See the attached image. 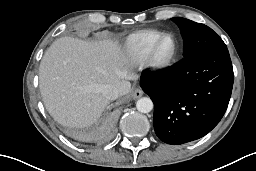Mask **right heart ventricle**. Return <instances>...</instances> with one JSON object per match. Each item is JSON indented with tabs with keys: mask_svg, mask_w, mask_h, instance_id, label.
Listing matches in <instances>:
<instances>
[{
	"mask_svg": "<svg viewBox=\"0 0 256 171\" xmlns=\"http://www.w3.org/2000/svg\"><path fill=\"white\" fill-rule=\"evenodd\" d=\"M163 34L157 29H144L130 34L125 41L128 57L135 62L144 61L153 42Z\"/></svg>",
	"mask_w": 256,
	"mask_h": 171,
	"instance_id": "e07e8e85",
	"label": "right heart ventricle"
}]
</instances>
